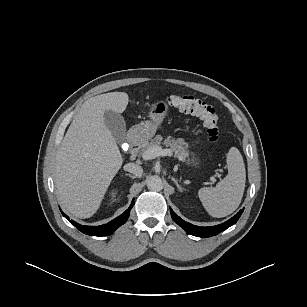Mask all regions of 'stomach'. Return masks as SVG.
Masks as SVG:
<instances>
[{"instance_id":"1","label":"stomach","mask_w":307,"mask_h":307,"mask_svg":"<svg viewBox=\"0 0 307 307\" xmlns=\"http://www.w3.org/2000/svg\"><path fill=\"white\" fill-rule=\"evenodd\" d=\"M168 105L161 101L155 103L149 112V117L151 120L142 121L140 124L133 127L137 138L140 140L150 139L156 132L157 127L162 123L166 113Z\"/></svg>"}]
</instances>
